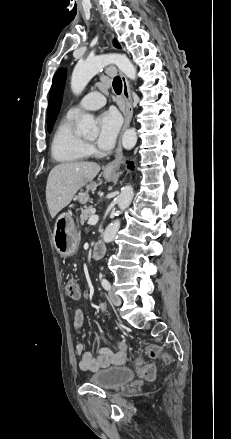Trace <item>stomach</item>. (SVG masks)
<instances>
[{"label": "stomach", "mask_w": 231, "mask_h": 439, "mask_svg": "<svg viewBox=\"0 0 231 439\" xmlns=\"http://www.w3.org/2000/svg\"><path fill=\"white\" fill-rule=\"evenodd\" d=\"M116 175V172L103 171V177L108 181L114 179ZM90 187H88L87 191L78 193L74 200L86 204L90 200L88 194ZM53 240L55 248L61 256L69 257L77 252L80 234L73 218L69 214H60L56 219Z\"/></svg>", "instance_id": "1"}]
</instances>
